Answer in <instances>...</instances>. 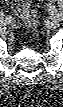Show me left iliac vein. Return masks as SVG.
I'll return each mask as SVG.
<instances>
[{"label": "left iliac vein", "mask_w": 63, "mask_h": 107, "mask_svg": "<svg viewBox=\"0 0 63 107\" xmlns=\"http://www.w3.org/2000/svg\"><path fill=\"white\" fill-rule=\"evenodd\" d=\"M50 18L53 22H55V23L58 22L60 19V12L55 9L51 10Z\"/></svg>", "instance_id": "obj_1"}]
</instances>
